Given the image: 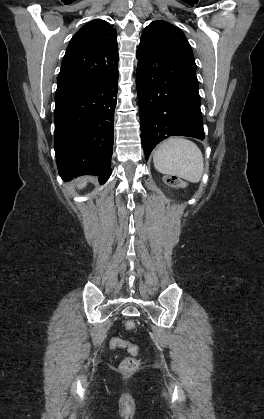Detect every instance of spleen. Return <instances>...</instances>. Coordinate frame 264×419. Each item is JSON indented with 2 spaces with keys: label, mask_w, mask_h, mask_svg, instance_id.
I'll use <instances>...</instances> for the list:
<instances>
[{
  "label": "spleen",
  "mask_w": 264,
  "mask_h": 419,
  "mask_svg": "<svg viewBox=\"0 0 264 419\" xmlns=\"http://www.w3.org/2000/svg\"><path fill=\"white\" fill-rule=\"evenodd\" d=\"M153 163L160 173L192 183L200 181L204 170L201 150L194 142L180 137L169 138L160 144L154 152Z\"/></svg>",
  "instance_id": "1"
}]
</instances>
